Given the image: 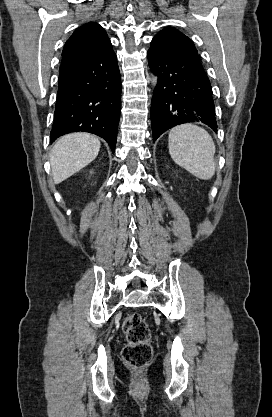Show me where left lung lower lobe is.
I'll list each match as a JSON object with an SVG mask.
<instances>
[{"label": "left lung lower lobe", "mask_w": 272, "mask_h": 417, "mask_svg": "<svg viewBox=\"0 0 272 417\" xmlns=\"http://www.w3.org/2000/svg\"><path fill=\"white\" fill-rule=\"evenodd\" d=\"M148 63L158 76L151 104L153 141L188 122L217 131L212 87L200 59L150 48Z\"/></svg>", "instance_id": "left-lung-lower-lobe-1"}]
</instances>
